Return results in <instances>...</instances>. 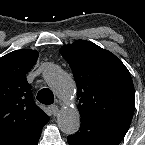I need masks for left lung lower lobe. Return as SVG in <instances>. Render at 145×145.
Returning a JSON list of instances; mask_svg holds the SVG:
<instances>
[{
  "instance_id": "obj_1",
  "label": "left lung lower lobe",
  "mask_w": 145,
  "mask_h": 145,
  "mask_svg": "<svg viewBox=\"0 0 145 145\" xmlns=\"http://www.w3.org/2000/svg\"><path fill=\"white\" fill-rule=\"evenodd\" d=\"M130 121L117 119H81L79 131L67 137L69 145H118Z\"/></svg>"
}]
</instances>
